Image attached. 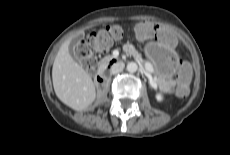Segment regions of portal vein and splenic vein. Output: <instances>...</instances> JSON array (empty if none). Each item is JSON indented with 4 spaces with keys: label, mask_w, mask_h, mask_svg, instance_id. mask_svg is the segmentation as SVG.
<instances>
[{
    "label": "portal vein and splenic vein",
    "mask_w": 230,
    "mask_h": 155,
    "mask_svg": "<svg viewBox=\"0 0 230 155\" xmlns=\"http://www.w3.org/2000/svg\"><path fill=\"white\" fill-rule=\"evenodd\" d=\"M150 82H151V84L154 86V87H156L157 85H156V82L152 79V77L150 76Z\"/></svg>",
    "instance_id": "portal-vein-and-splenic-vein-1"
}]
</instances>
